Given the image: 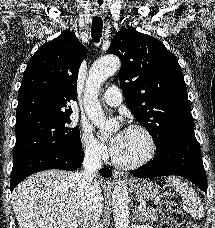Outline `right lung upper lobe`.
I'll list each match as a JSON object with an SVG mask.
<instances>
[{
    "instance_id": "right-lung-upper-lobe-1",
    "label": "right lung upper lobe",
    "mask_w": 215,
    "mask_h": 228,
    "mask_svg": "<svg viewBox=\"0 0 215 228\" xmlns=\"http://www.w3.org/2000/svg\"><path fill=\"white\" fill-rule=\"evenodd\" d=\"M86 49L73 32L43 44L29 60L18 92L16 123L71 114L68 104L77 94V74Z\"/></svg>"
}]
</instances>
